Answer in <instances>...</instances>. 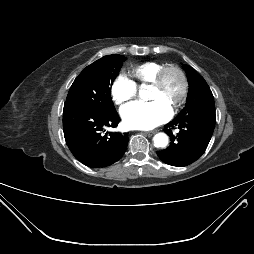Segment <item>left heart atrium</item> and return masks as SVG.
<instances>
[{
	"label": "left heart atrium",
	"mask_w": 254,
	"mask_h": 254,
	"mask_svg": "<svg viewBox=\"0 0 254 254\" xmlns=\"http://www.w3.org/2000/svg\"><path fill=\"white\" fill-rule=\"evenodd\" d=\"M170 116L171 109L157 100H138L121 109L122 120L131 129H152L166 122Z\"/></svg>",
	"instance_id": "obj_1"
}]
</instances>
